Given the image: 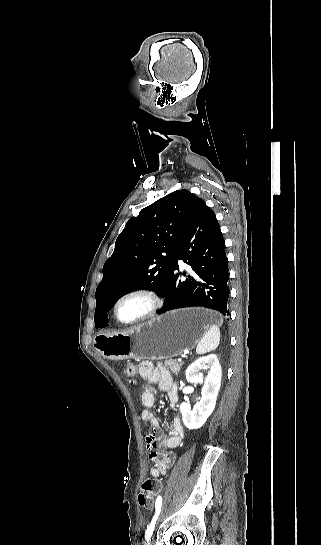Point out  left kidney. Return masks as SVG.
<instances>
[{
  "label": "left kidney",
  "instance_id": "obj_1",
  "mask_svg": "<svg viewBox=\"0 0 321 545\" xmlns=\"http://www.w3.org/2000/svg\"><path fill=\"white\" fill-rule=\"evenodd\" d=\"M202 369H209L205 381L200 373ZM221 375L222 369L216 355L200 357L187 367L186 379L188 383H204L201 391L202 399L194 405L192 411L189 403H181L180 405L182 421L187 429H200L213 413L221 387Z\"/></svg>",
  "mask_w": 321,
  "mask_h": 545
}]
</instances>
